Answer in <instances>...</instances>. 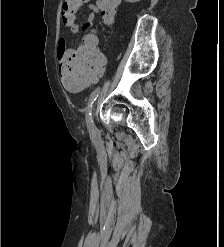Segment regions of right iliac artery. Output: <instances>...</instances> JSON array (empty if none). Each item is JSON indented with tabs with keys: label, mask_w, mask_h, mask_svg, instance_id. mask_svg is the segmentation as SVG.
I'll return each mask as SVG.
<instances>
[{
	"label": "right iliac artery",
	"mask_w": 224,
	"mask_h": 247,
	"mask_svg": "<svg viewBox=\"0 0 224 247\" xmlns=\"http://www.w3.org/2000/svg\"><path fill=\"white\" fill-rule=\"evenodd\" d=\"M99 90H100L99 88H96L91 93L90 98H89V102L87 105L86 123H87V127H88V130H89L91 135L94 134V123L92 120V106H93V103L95 102L96 98L98 97Z\"/></svg>",
	"instance_id": "1"
}]
</instances>
